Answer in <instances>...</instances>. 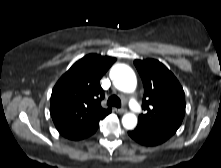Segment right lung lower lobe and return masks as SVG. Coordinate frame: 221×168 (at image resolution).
I'll use <instances>...</instances> for the list:
<instances>
[{
    "mask_svg": "<svg viewBox=\"0 0 221 168\" xmlns=\"http://www.w3.org/2000/svg\"><path fill=\"white\" fill-rule=\"evenodd\" d=\"M97 128L90 130L88 132L81 133L79 135L65 136V137L68 139H71V140H81V139L87 138V137L91 136L92 134H94L96 132Z\"/></svg>",
    "mask_w": 221,
    "mask_h": 168,
    "instance_id": "obj_1",
    "label": "right lung lower lobe"
}]
</instances>
